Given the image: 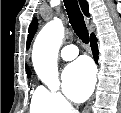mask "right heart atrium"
I'll use <instances>...</instances> for the list:
<instances>
[{
  "instance_id": "obj_1",
  "label": "right heart atrium",
  "mask_w": 121,
  "mask_h": 113,
  "mask_svg": "<svg viewBox=\"0 0 121 113\" xmlns=\"http://www.w3.org/2000/svg\"><path fill=\"white\" fill-rule=\"evenodd\" d=\"M42 91L50 102L55 113H64V111L70 108L69 103L64 99V97L60 93L49 91L46 88H42Z\"/></svg>"
}]
</instances>
